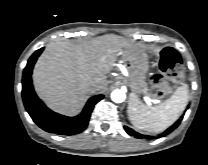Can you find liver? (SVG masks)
<instances>
[{
    "mask_svg": "<svg viewBox=\"0 0 208 165\" xmlns=\"http://www.w3.org/2000/svg\"><path fill=\"white\" fill-rule=\"evenodd\" d=\"M130 48L132 43L117 35H103L79 44L51 42L35 64V90L54 111L73 115L90 91L89 85H96V91L107 88L106 75L123 50Z\"/></svg>",
    "mask_w": 208,
    "mask_h": 165,
    "instance_id": "obj_1",
    "label": "liver"
}]
</instances>
